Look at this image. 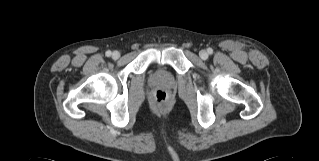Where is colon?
Listing matches in <instances>:
<instances>
[{"label":"colon","mask_w":319,"mask_h":161,"mask_svg":"<svg viewBox=\"0 0 319 161\" xmlns=\"http://www.w3.org/2000/svg\"><path fill=\"white\" fill-rule=\"evenodd\" d=\"M152 102L156 108H166L170 104V96L167 90L157 89L152 93Z\"/></svg>","instance_id":"colon-1"}]
</instances>
